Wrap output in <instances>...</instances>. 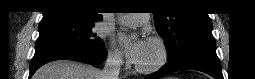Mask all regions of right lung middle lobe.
<instances>
[{"mask_svg":"<svg viewBox=\"0 0 255 79\" xmlns=\"http://www.w3.org/2000/svg\"><path fill=\"white\" fill-rule=\"evenodd\" d=\"M95 22L71 18L42 20L35 49L48 46L97 49L104 45L92 32Z\"/></svg>","mask_w":255,"mask_h":79,"instance_id":"obj_1","label":"right lung middle lobe"}]
</instances>
